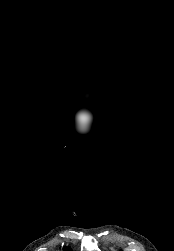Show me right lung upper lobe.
I'll return each instance as SVG.
<instances>
[{"label": "right lung upper lobe", "instance_id": "cb5924a9", "mask_svg": "<svg viewBox=\"0 0 174 251\" xmlns=\"http://www.w3.org/2000/svg\"><path fill=\"white\" fill-rule=\"evenodd\" d=\"M64 250H65V251H70V249H68V248H64Z\"/></svg>", "mask_w": 174, "mask_h": 251}]
</instances>
